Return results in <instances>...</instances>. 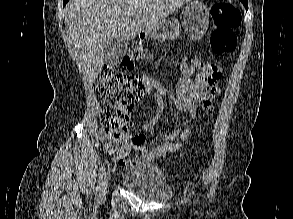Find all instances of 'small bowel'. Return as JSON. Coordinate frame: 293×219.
Here are the masks:
<instances>
[{"mask_svg":"<svg viewBox=\"0 0 293 219\" xmlns=\"http://www.w3.org/2000/svg\"><path fill=\"white\" fill-rule=\"evenodd\" d=\"M196 65L189 64L185 59L181 64V72L183 78L177 85V99L169 94L162 85L150 77H144L142 80L145 91L157 100L161 113L143 123L144 131L155 129L164 118V104L161 95H167L178 112H186L190 114L193 125L197 118V106L200 104L208 114L213 111V100L218 94L216 85L218 80L211 79L207 72L197 74L196 81L193 82L191 77L195 75ZM131 124L126 129L109 133L105 129L99 130L100 138L104 148L119 165L130 164L132 167L145 166L159 156H165L168 153L176 152L181 148V144L173 141L180 136L186 141L193 133L192 128L180 131L177 128L165 133L160 143L151 146L147 143V137L144 133L132 134L129 130ZM135 148L141 152V156H136L132 160H126L131 149Z\"/></svg>","mask_w":293,"mask_h":219,"instance_id":"c3829d8e","label":"small bowel"}]
</instances>
